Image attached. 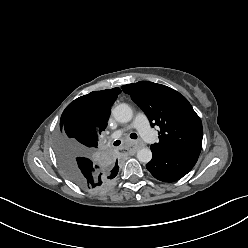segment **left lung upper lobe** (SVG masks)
<instances>
[{
    "label": "left lung upper lobe",
    "mask_w": 248,
    "mask_h": 248,
    "mask_svg": "<svg viewBox=\"0 0 248 248\" xmlns=\"http://www.w3.org/2000/svg\"><path fill=\"white\" fill-rule=\"evenodd\" d=\"M145 112L151 126L160 127L152 149L174 151L202 147V122L188 100L165 85L139 81L121 87Z\"/></svg>",
    "instance_id": "left-lung-upper-lobe-1"
}]
</instances>
